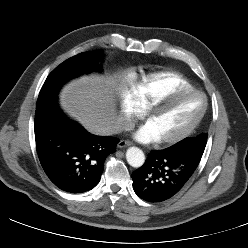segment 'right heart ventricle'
Here are the masks:
<instances>
[{
    "instance_id": "1",
    "label": "right heart ventricle",
    "mask_w": 248,
    "mask_h": 248,
    "mask_svg": "<svg viewBox=\"0 0 248 248\" xmlns=\"http://www.w3.org/2000/svg\"><path fill=\"white\" fill-rule=\"evenodd\" d=\"M183 89H193L184 76L174 71H161L144 76L132 85L131 91L141 107L146 109L158 98Z\"/></svg>"
}]
</instances>
